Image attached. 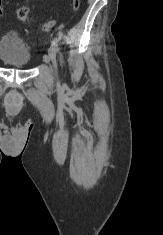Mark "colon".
<instances>
[{"label":"colon","instance_id":"colon-1","mask_svg":"<svg viewBox=\"0 0 163 235\" xmlns=\"http://www.w3.org/2000/svg\"><path fill=\"white\" fill-rule=\"evenodd\" d=\"M71 7L75 11L78 10L80 7V0H71ZM2 12H3V4H2V0H0V15H2ZM16 16L18 19L24 22H30L32 20L30 16V10L27 7L18 8L16 10ZM54 25H55V21L49 20L42 24V29L44 31H49L54 27Z\"/></svg>","mask_w":163,"mask_h":235}]
</instances>
